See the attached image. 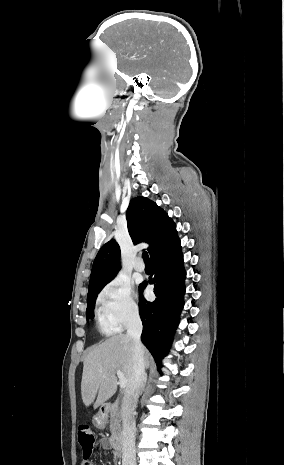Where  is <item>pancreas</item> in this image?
<instances>
[{"instance_id":"pancreas-1","label":"pancreas","mask_w":284,"mask_h":465,"mask_svg":"<svg viewBox=\"0 0 284 465\" xmlns=\"http://www.w3.org/2000/svg\"><path fill=\"white\" fill-rule=\"evenodd\" d=\"M110 431L111 439H115L117 433L121 431V411L118 407V401L111 405L110 409Z\"/></svg>"}]
</instances>
